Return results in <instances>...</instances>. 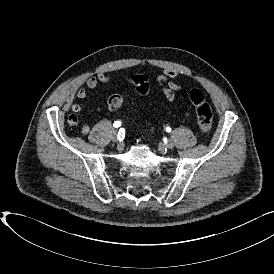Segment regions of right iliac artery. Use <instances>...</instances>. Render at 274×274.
I'll list each match as a JSON object with an SVG mask.
<instances>
[{"mask_svg": "<svg viewBox=\"0 0 274 274\" xmlns=\"http://www.w3.org/2000/svg\"><path fill=\"white\" fill-rule=\"evenodd\" d=\"M113 126L115 128H119L121 126V122L120 121H115ZM125 137V130L123 128H121L118 132L117 138L119 141H122Z\"/></svg>", "mask_w": 274, "mask_h": 274, "instance_id": "1", "label": "right iliac artery"}]
</instances>
